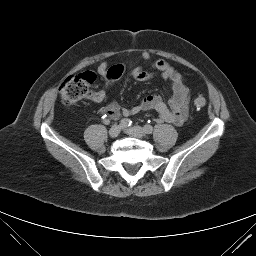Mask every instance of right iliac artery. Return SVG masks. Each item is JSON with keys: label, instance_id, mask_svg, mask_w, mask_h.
<instances>
[{"label": "right iliac artery", "instance_id": "obj_1", "mask_svg": "<svg viewBox=\"0 0 256 256\" xmlns=\"http://www.w3.org/2000/svg\"><path fill=\"white\" fill-rule=\"evenodd\" d=\"M132 125V121L128 118H124L120 121V127L127 128Z\"/></svg>", "mask_w": 256, "mask_h": 256}]
</instances>
